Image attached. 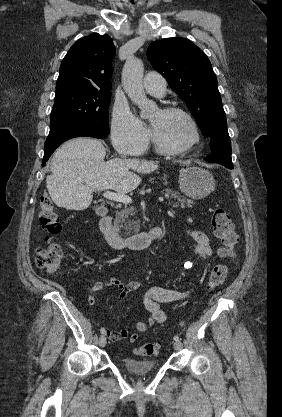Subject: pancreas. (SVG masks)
<instances>
[{
    "label": "pancreas",
    "instance_id": "obj_1",
    "mask_svg": "<svg viewBox=\"0 0 282 417\" xmlns=\"http://www.w3.org/2000/svg\"><path fill=\"white\" fill-rule=\"evenodd\" d=\"M165 194H168L166 198H172L169 200L168 204H173V206H181V209H188V206L194 204V200L191 198H183L180 192L177 190H172V188H165ZM176 200V202H174ZM137 211H135V206H128V209H121L120 213H117L114 221V225H118L120 229L126 231V235H129L131 229H134V233H139L138 221L134 219Z\"/></svg>",
    "mask_w": 282,
    "mask_h": 417
}]
</instances>
